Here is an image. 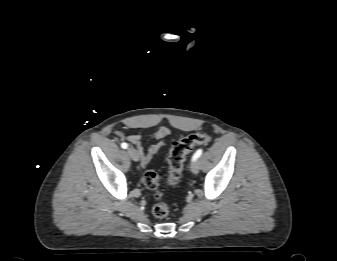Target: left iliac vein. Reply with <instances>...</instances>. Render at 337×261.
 I'll return each instance as SVG.
<instances>
[{
  "mask_svg": "<svg viewBox=\"0 0 337 261\" xmlns=\"http://www.w3.org/2000/svg\"><path fill=\"white\" fill-rule=\"evenodd\" d=\"M190 170L192 171V173H195V174L198 173L199 163L196 160L192 161V163L190 165Z\"/></svg>",
  "mask_w": 337,
  "mask_h": 261,
  "instance_id": "1",
  "label": "left iliac vein"
}]
</instances>
